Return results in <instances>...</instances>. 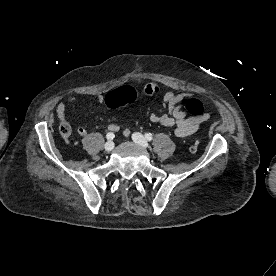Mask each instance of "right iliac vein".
Instances as JSON below:
<instances>
[{"label":"right iliac vein","mask_w":276,"mask_h":276,"mask_svg":"<svg viewBox=\"0 0 276 276\" xmlns=\"http://www.w3.org/2000/svg\"><path fill=\"white\" fill-rule=\"evenodd\" d=\"M113 148H114V142L113 141H108L104 145V149H105L106 152L112 151Z\"/></svg>","instance_id":"1"}]
</instances>
